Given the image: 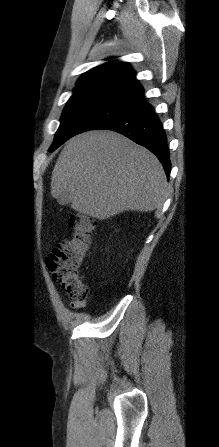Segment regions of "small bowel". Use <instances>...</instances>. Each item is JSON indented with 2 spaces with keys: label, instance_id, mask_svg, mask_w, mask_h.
I'll use <instances>...</instances> for the list:
<instances>
[{
  "label": "small bowel",
  "instance_id": "small-bowel-1",
  "mask_svg": "<svg viewBox=\"0 0 219 447\" xmlns=\"http://www.w3.org/2000/svg\"><path fill=\"white\" fill-rule=\"evenodd\" d=\"M86 306V302H72L71 303V308L75 309V310H80L83 309Z\"/></svg>",
  "mask_w": 219,
  "mask_h": 447
}]
</instances>
